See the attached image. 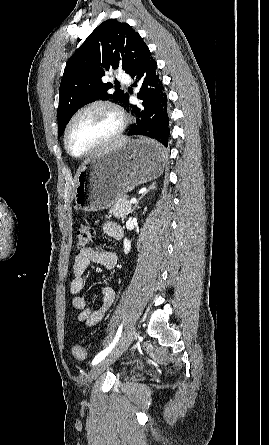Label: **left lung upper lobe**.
I'll list each match as a JSON object with an SVG mask.
<instances>
[{"label": "left lung upper lobe", "mask_w": 269, "mask_h": 445, "mask_svg": "<svg viewBox=\"0 0 269 445\" xmlns=\"http://www.w3.org/2000/svg\"><path fill=\"white\" fill-rule=\"evenodd\" d=\"M148 49L146 43L127 23L116 19L101 23L69 59L59 88L58 134L82 106L97 99L124 101L127 93L117 90L102 78L107 72L122 68L130 73ZM117 89V88H116Z\"/></svg>", "instance_id": "obj_1"}]
</instances>
